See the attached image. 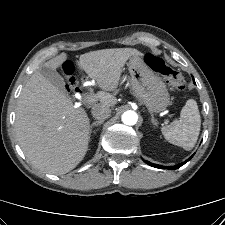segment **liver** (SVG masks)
Masks as SVG:
<instances>
[{
	"label": "liver",
	"instance_id": "1",
	"mask_svg": "<svg viewBox=\"0 0 225 225\" xmlns=\"http://www.w3.org/2000/svg\"><path fill=\"white\" fill-rule=\"evenodd\" d=\"M142 55L133 48H113L80 56V68L103 90L95 95L99 101L95 105L116 104L109 92L117 89L127 60ZM66 59V54H61L44 66L55 70ZM89 129L85 109L74 107L64 91L35 71L21 91L15 119L19 145L32 165L50 174L68 173L88 150Z\"/></svg>",
	"mask_w": 225,
	"mask_h": 225
}]
</instances>
